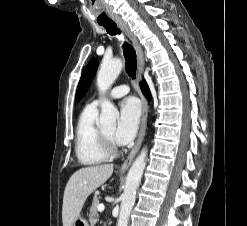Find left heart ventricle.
<instances>
[{"label": "left heart ventricle", "instance_id": "obj_1", "mask_svg": "<svg viewBox=\"0 0 247 226\" xmlns=\"http://www.w3.org/2000/svg\"><path fill=\"white\" fill-rule=\"evenodd\" d=\"M104 132V134L109 137L110 139L113 140V133H114V128L110 127V128H106L102 130Z\"/></svg>", "mask_w": 247, "mask_h": 226}]
</instances>
